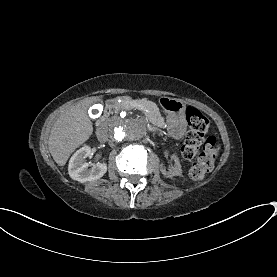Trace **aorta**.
Masks as SVG:
<instances>
[{"instance_id": "1", "label": "aorta", "mask_w": 277, "mask_h": 277, "mask_svg": "<svg viewBox=\"0 0 277 277\" xmlns=\"http://www.w3.org/2000/svg\"><path fill=\"white\" fill-rule=\"evenodd\" d=\"M148 123L145 118L137 115L116 117L109 123L111 139L117 144H133L147 135Z\"/></svg>"}]
</instances>
